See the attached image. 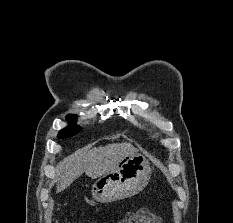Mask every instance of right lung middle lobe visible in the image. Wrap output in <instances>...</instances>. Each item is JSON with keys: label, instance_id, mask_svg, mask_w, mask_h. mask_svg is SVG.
Here are the masks:
<instances>
[{"label": "right lung middle lobe", "instance_id": "1", "mask_svg": "<svg viewBox=\"0 0 233 223\" xmlns=\"http://www.w3.org/2000/svg\"><path fill=\"white\" fill-rule=\"evenodd\" d=\"M67 119L69 121L75 122L76 120V116L75 115H68ZM81 130L80 126L71 124L70 126H68L67 128L61 130L58 134V138L62 139V138H68V137H72L75 134H77L79 131Z\"/></svg>", "mask_w": 233, "mask_h": 223}]
</instances>
